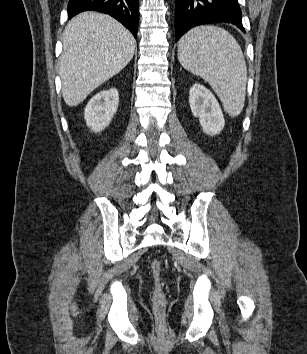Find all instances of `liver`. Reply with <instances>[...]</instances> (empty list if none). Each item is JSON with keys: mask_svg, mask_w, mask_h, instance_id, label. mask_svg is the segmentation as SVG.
<instances>
[{"mask_svg": "<svg viewBox=\"0 0 307 354\" xmlns=\"http://www.w3.org/2000/svg\"><path fill=\"white\" fill-rule=\"evenodd\" d=\"M59 75L65 103L77 106L131 61L136 41L114 18L97 12L73 17L62 37Z\"/></svg>", "mask_w": 307, "mask_h": 354, "instance_id": "obj_1", "label": "liver"}]
</instances>
